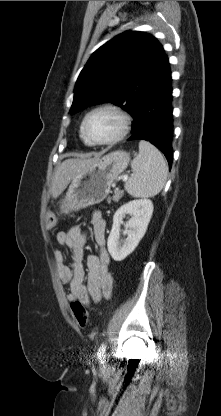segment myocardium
Wrapping results in <instances>:
<instances>
[{"mask_svg": "<svg viewBox=\"0 0 221 416\" xmlns=\"http://www.w3.org/2000/svg\"><path fill=\"white\" fill-rule=\"evenodd\" d=\"M100 111H110L114 113L120 120V128L117 134L106 140H94L88 136L87 131H86V125H87L89 118L93 114L100 112ZM130 124H131V118L129 114L123 108L112 103H106V104L96 106L95 108L87 112V114L84 116L82 123H81V135L89 144L111 145V144H115L121 141L127 135L129 128H130Z\"/></svg>", "mask_w": 221, "mask_h": 416, "instance_id": "f54148a6", "label": "myocardium"}]
</instances>
